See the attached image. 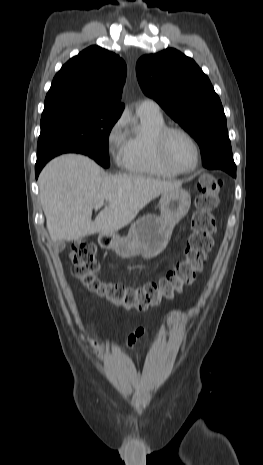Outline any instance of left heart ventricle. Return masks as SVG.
Wrapping results in <instances>:
<instances>
[{
	"instance_id": "left-heart-ventricle-1",
	"label": "left heart ventricle",
	"mask_w": 263,
	"mask_h": 465,
	"mask_svg": "<svg viewBox=\"0 0 263 465\" xmlns=\"http://www.w3.org/2000/svg\"><path fill=\"white\" fill-rule=\"evenodd\" d=\"M171 162L181 169L191 168L196 159L195 149L189 139L181 134H173L168 144Z\"/></svg>"
}]
</instances>
